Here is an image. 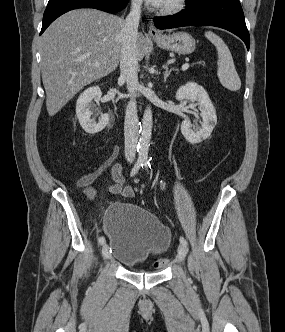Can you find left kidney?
I'll list each match as a JSON object with an SVG mask.
<instances>
[{"instance_id": "5707ae66", "label": "left kidney", "mask_w": 285, "mask_h": 332, "mask_svg": "<svg viewBox=\"0 0 285 332\" xmlns=\"http://www.w3.org/2000/svg\"><path fill=\"white\" fill-rule=\"evenodd\" d=\"M176 99L178 101L186 99L191 102H197L199 110L201 111V127L192 128L189 119H185L182 122L181 133L184 138L192 144H198L207 139L217 123V116L215 108L205 89L195 82H188L179 87L176 92Z\"/></svg>"}]
</instances>
